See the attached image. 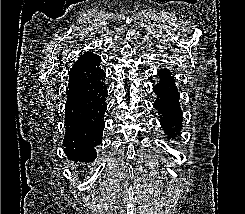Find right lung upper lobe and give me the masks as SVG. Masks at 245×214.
Instances as JSON below:
<instances>
[{"instance_id": "right-lung-upper-lobe-1", "label": "right lung upper lobe", "mask_w": 245, "mask_h": 214, "mask_svg": "<svg viewBox=\"0 0 245 214\" xmlns=\"http://www.w3.org/2000/svg\"><path fill=\"white\" fill-rule=\"evenodd\" d=\"M100 62V57L92 52H87L80 56L79 74L83 83L99 77L102 71L99 67Z\"/></svg>"}]
</instances>
